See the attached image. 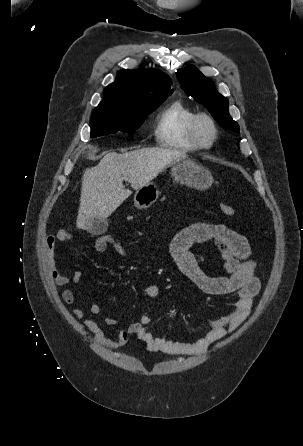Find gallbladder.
<instances>
[{
    "label": "gallbladder",
    "mask_w": 303,
    "mask_h": 446,
    "mask_svg": "<svg viewBox=\"0 0 303 446\" xmlns=\"http://www.w3.org/2000/svg\"><path fill=\"white\" fill-rule=\"evenodd\" d=\"M91 223L92 225L88 231L95 235L105 233L108 228V223L105 220L92 219Z\"/></svg>",
    "instance_id": "1"
}]
</instances>
